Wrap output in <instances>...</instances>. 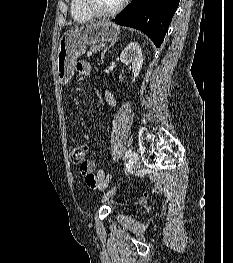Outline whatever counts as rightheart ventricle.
<instances>
[{
    "label": "right heart ventricle",
    "instance_id": "obj_1",
    "mask_svg": "<svg viewBox=\"0 0 233 263\" xmlns=\"http://www.w3.org/2000/svg\"><path fill=\"white\" fill-rule=\"evenodd\" d=\"M71 15L74 20L85 22L93 17L84 9L82 0H71Z\"/></svg>",
    "mask_w": 233,
    "mask_h": 263
}]
</instances>
